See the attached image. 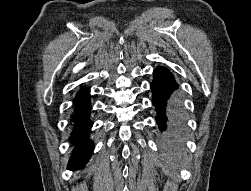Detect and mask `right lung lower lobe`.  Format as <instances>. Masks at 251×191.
<instances>
[{
    "instance_id": "1",
    "label": "right lung lower lobe",
    "mask_w": 251,
    "mask_h": 191,
    "mask_svg": "<svg viewBox=\"0 0 251 191\" xmlns=\"http://www.w3.org/2000/svg\"><path fill=\"white\" fill-rule=\"evenodd\" d=\"M89 92V88L81 86L73 99L74 106L70 122L72 132L69 141L74 145V149L67 166L69 170L83 168L94 150V143L89 139L90 127L93 125L90 119L92 106Z\"/></svg>"
}]
</instances>
